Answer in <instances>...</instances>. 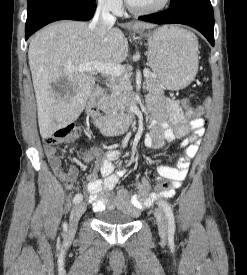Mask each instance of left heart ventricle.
I'll use <instances>...</instances> for the list:
<instances>
[{
  "instance_id": "obj_1",
  "label": "left heart ventricle",
  "mask_w": 247,
  "mask_h": 275,
  "mask_svg": "<svg viewBox=\"0 0 247 275\" xmlns=\"http://www.w3.org/2000/svg\"><path fill=\"white\" fill-rule=\"evenodd\" d=\"M136 8H151L159 5L163 0H129Z\"/></svg>"
}]
</instances>
